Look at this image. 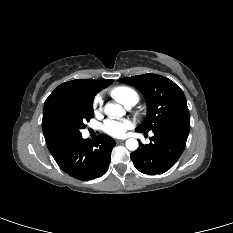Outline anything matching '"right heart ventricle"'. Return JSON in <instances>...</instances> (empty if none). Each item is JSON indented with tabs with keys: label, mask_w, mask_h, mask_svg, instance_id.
Here are the masks:
<instances>
[{
	"label": "right heart ventricle",
	"mask_w": 233,
	"mask_h": 233,
	"mask_svg": "<svg viewBox=\"0 0 233 233\" xmlns=\"http://www.w3.org/2000/svg\"><path fill=\"white\" fill-rule=\"evenodd\" d=\"M110 94L125 106L135 105L139 101L138 93L129 86H116L111 89Z\"/></svg>",
	"instance_id": "1"
}]
</instances>
